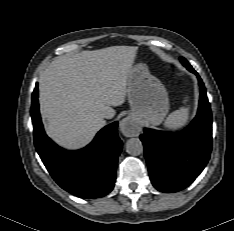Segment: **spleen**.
<instances>
[{
    "mask_svg": "<svg viewBox=\"0 0 234 231\" xmlns=\"http://www.w3.org/2000/svg\"><path fill=\"white\" fill-rule=\"evenodd\" d=\"M189 100L190 96H186L183 101L186 106L180 107L168 116L163 124L165 129L175 131L188 124L190 118V105H187V103Z\"/></svg>",
    "mask_w": 234,
    "mask_h": 231,
    "instance_id": "obj_1",
    "label": "spleen"
}]
</instances>
